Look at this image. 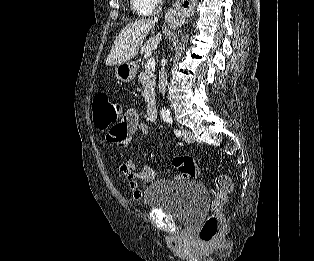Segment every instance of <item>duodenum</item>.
<instances>
[{"instance_id":"410a0bca","label":"duodenum","mask_w":314,"mask_h":261,"mask_svg":"<svg viewBox=\"0 0 314 261\" xmlns=\"http://www.w3.org/2000/svg\"><path fill=\"white\" fill-rule=\"evenodd\" d=\"M147 116L151 121L156 120L157 117V107L154 103H149L147 106Z\"/></svg>"}]
</instances>
